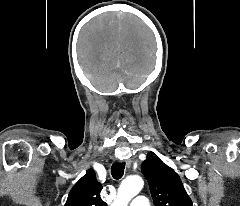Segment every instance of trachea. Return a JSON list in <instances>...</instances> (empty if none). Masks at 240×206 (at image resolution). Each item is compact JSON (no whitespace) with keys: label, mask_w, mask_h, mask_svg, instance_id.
I'll return each instance as SVG.
<instances>
[{"label":"trachea","mask_w":240,"mask_h":206,"mask_svg":"<svg viewBox=\"0 0 240 206\" xmlns=\"http://www.w3.org/2000/svg\"><path fill=\"white\" fill-rule=\"evenodd\" d=\"M125 162H116L112 164L111 174L115 179H120L124 174Z\"/></svg>","instance_id":"obj_1"}]
</instances>
